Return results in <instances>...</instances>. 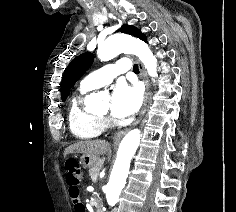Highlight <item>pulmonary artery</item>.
I'll use <instances>...</instances> for the list:
<instances>
[{"label": "pulmonary artery", "instance_id": "pulmonary-artery-1", "mask_svg": "<svg viewBox=\"0 0 236 212\" xmlns=\"http://www.w3.org/2000/svg\"><path fill=\"white\" fill-rule=\"evenodd\" d=\"M131 63L129 59L122 58L115 64L106 65L90 74L81 82L82 86L89 89H96L109 85L113 79L121 73L129 71Z\"/></svg>", "mask_w": 236, "mask_h": 212}]
</instances>
